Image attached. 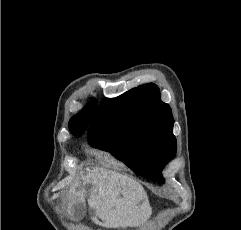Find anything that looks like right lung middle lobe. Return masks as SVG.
<instances>
[{
	"label": "right lung middle lobe",
	"instance_id": "obj_1",
	"mask_svg": "<svg viewBox=\"0 0 241 230\" xmlns=\"http://www.w3.org/2000/svg\"><path fill=\"white\" fill-rule=\"evenodd\" d=\"M83 132H84V131H76V132H74L73 134H74V135H81Z\"/></svg>",
	"mask_w": 241,
	"mask_h": 230
}]
</instances>
